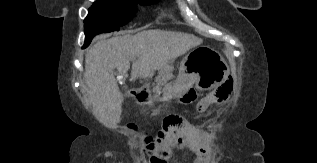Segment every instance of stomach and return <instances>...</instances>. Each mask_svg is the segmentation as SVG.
I'll use <instances>...</instances> for the list:
<instances>
[{
	"mask_svg": "<svg viewBox=\"0 0 317 163\" xmlns=\"http://www.w3.org/2000/svg\"><path fill=\"white\" fill-rule=\"evenodd\" d=\"M199 52L204 53L194 63L182 62L175 82L167 83L158 91L144 89L137 95V102L149 107L158 102H167L172 99H181L195 84L201 90H211L229 75V67L223 57L213 48L204 46Z\"/></svg>",
	"mask_w": 317,
	"mask_h": 163,
	"instance_id": "1",
	"label": "stomach"
}]
</instances>
